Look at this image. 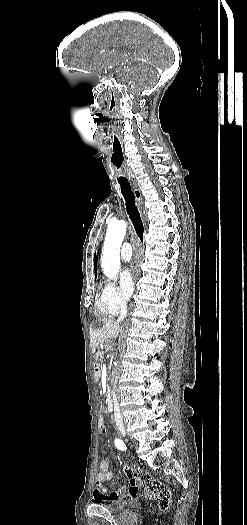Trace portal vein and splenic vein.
<instances>
[{
    "label": "portal vein and splenic vein",
    "mask_w": 247,
    "mask_h": 525,
    "mask_svg": "<svg viewBox=\"0 0 247 525\" xmlns=\"http://www.w3.org/2000/svg\"><path fill=\"white\" fill-rule=\"evenodd\" d=\"M99 370H102L103 364H98Z\"/></svg>",
    "instance_id": "18ae733b"
}]
</instances>
